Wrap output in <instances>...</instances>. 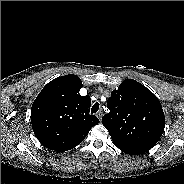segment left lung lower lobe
<instances>
[{"instance_id": "obj_1", "label": "left lung lower lobe", "mask_w": 184, "mask_h": 184, "mask_svg": "<svg viewBox=\"0 0 184 184\" xmlns=\"http://www.w3.org/2000/svg\"><path fill=\"white\" fill-rule=\"evenodd\" d=\"M121 151H123V152L126 153V154L137 155V154H133V153H128L127 151H124V150H121Z\"/></svg>"}]
</instances>
